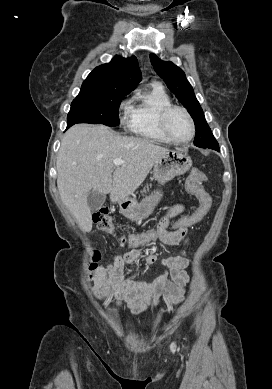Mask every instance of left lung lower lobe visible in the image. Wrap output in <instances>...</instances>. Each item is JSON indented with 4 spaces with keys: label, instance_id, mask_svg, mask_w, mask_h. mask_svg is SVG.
I'll list each match as a JSON object with an SVG mask.
<instances>
[{
    "label": "left lung lower lobe",
    "instance_id": "obj_1",
    "mask_svg": "<svg viewBox=\"0 0 272 389\" xmlns=\"http://www.w3.org/2000/svg\"><path fill=\"white\" fill-rule=\"evenodd\" d=\"M210 148L219 151V144H218V142L215 141V143Z\"/></svg>",
    "mask_w": 272,
    "mask_h": 389
}]
</instances>
